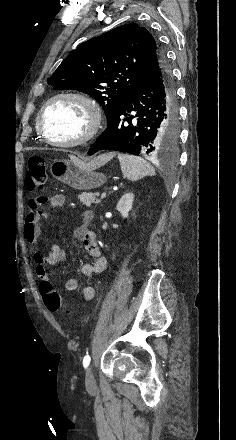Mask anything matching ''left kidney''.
Segmentation results:
<instances>
[{
    "label": "left kidney",
    "mask_w": 236,
    "mask_h": 440,
    "mask_svg": "<svg viewBox=\"0 0 236 440\" xmlns=\"http://www.w3.org/2000/svg\"><path fill=\"white\" fill-rule=\"evenodd\" d=\"M133 201L134 194L132 192L125 193L118 201L116 209L123 218H127L129 216V212L132 209Z\"/></svg>",
    "instance_id": "left-kidney-1"
}]
</instances>
